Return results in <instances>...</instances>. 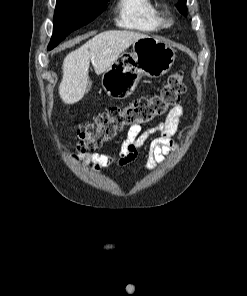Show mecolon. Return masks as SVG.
<instances>
[{
    "instance_id": "obj_1",
    "label": "colon",
    "mask_w": 247,
    "mask_h": 296,
    "mask_svg": "<svg viewBox=\"0 0 247 296\" xmlns=\"http://www.w3.org/2000/svg\"><path fill=\"white\" fill-rule=\"evenodd\" d=\"M186 88L184 74L177 72L155 94L141 97L124 107H110L92 122L77 127V150L93 151L129 126L150 122L175 106Z\"/></svg>"
}]
</instances>
